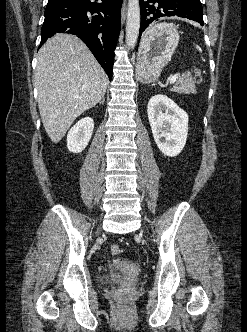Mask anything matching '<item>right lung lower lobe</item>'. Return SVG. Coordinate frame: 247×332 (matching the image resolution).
Segmentation results:
<instances>
[{"label":"right lung lower lobe","mask_w":247,"mask_h":332,"mask_svg":"<svg viewBox=\"0 0 247 332\" xmlns=\"http://www.w3.org/2000/svg\"><path fill=\"white\" fill-rule=\"evenodd\" d=\"M98 1V0H96ZM123 0H48L40 46L58 33L77 35L112 79ZM97 13L91 17L89 15Z\"/></svg>","instance_id":"1"}]
</instances>
